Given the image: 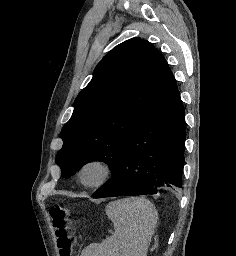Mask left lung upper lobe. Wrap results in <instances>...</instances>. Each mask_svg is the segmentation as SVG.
I'll list each match as a JSON object with an SVG mask.
<instances>
[{
	"instance_id": "5c2ea615",
	"label": "left lung upper lobe",
	"mask_w": 236,
	"mask_h": 256,
	"mask_svg": "<svg viewBox=\"0 0 236 256\" xmlns=\"http://www.w3.org/2000/svg\"><path fill=\"white\" fill-rule=\"evenodd\" d=\"M177 90L166 60L149 42L133 38L112 49L62 128L63 147L56 157L62 177L97 160L113 173L136 125Z\"/></svg>"
}]
</instances>
